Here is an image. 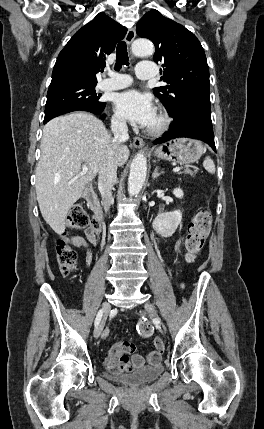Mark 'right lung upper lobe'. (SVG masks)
Returning a JSON list of instances; mask_svg holds the SVG:
<instances>
[{
	"instance_id": "obj_1",
	"label": "right lung upper lobe",
	"mask_w": 264,
	"mask_h": 429,
	"mask_svg": "<svg viewBox=\"0 0 264 429\" xmlns=\"http://www.w3.org/2000/svg\"><path fill=\"white\" fill-rule=\"evenodd\" d=\"M127 29L99 13L78 30L60 52L49 88L67 84H96V74L105 66L107 55L113 52Z\"/></svg>"
}]
</instances>
